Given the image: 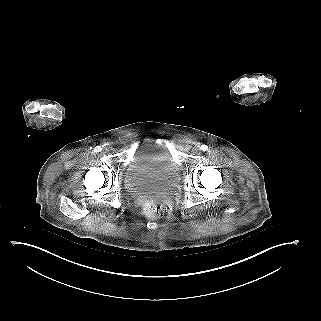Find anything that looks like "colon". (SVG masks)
Instances as JSON below:
<instances>
[{
    "mask_svg": "<svg viewBox=\"0 0 321 321\" xmlns=\"http://www.w3.org/2000/svg\"><path fill=\"white\" fill-rule=\"evenodd\" d=\"M144 213L150 218H164L170 213V208L162 201H148L143 206Z\"/></svg>",
    "mask_w": 321,
    "mask_h": 321,
    "instance_id": "obj_1",
    "label": "colon"
}]
</instances>
